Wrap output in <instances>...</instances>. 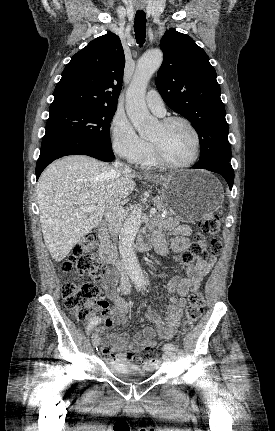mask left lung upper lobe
<instances>
[{
	"mask_svg": "<svg viewBox=\"0 0 275 431\" xmlns=\"http://www.w3.org/2000/svg\"><path fill=\"white\" fill-rule=\"evenodd\" d=\"M160 47L164 58L156 86L165 103L194 125L201 150L197 164L229 163L225 107L209 57L190 36L175 29L166 31Z\"/></svg>",
	"mask_w": 275,
	"mask_h": 431,
	"instance_id": "left-lung-upper-lobe-1",
	"label": "left lung upper lobe"
}]
</instances>
